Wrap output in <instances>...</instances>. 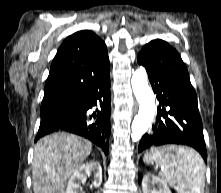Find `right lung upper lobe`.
<instances>
[{
  "mask_svg": "<svg viewBox=\"0 0 221 193\" xmlns=\"http://www.w3.org/2000/svg\"><path fill=\"white\" fill-rule=\"evenodd\" d=\"M109 64L105 43L92 31L69 36L52 62L42 102L76 99L94 75Z\"/></svg>",
  "mask_w": 221,
  "mask_h": 193,
  "instance_id": "obj_1",
  "label": "right lung upper lobe"
}]
</instances>
